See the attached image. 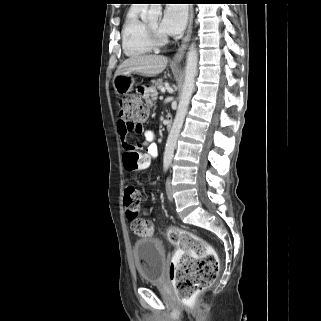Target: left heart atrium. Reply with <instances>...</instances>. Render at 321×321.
<instances>
[{"instance_id":"obj_1","label":"left heart atrium","mask_w":321,"mask_h":321,"mask_svg":"<svg viewBox=\"0 0 321 321\" xmlns=\"http://www.w3.org/2000/svg\"><path fill=\"white\" fill-rule=\"evenodd\" d=\"M187 21V8L183 4H168L164 10L159 29L165 35L179 34Z\"/></svg>"}]
</instances>
